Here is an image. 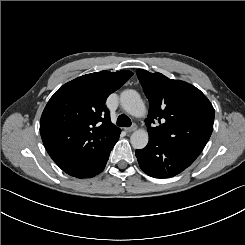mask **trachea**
Masks as SVG:
<instances>
[{"instance_id": "obj_1", "label": "trachea", "mask_w": 245, "mask_h": 245, "mask_svg": "<svg viewBox=\"0 0 245 245\" xmlns=\"http://www.w3.org/2000/svg\"><path fill=\"white\" fill-rule=\"evenodd\" d=\"M117 125L121 127H129L131 125V120L125 114H121L117 119Z\"/></svg>"}]
</instances>
